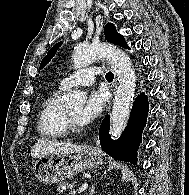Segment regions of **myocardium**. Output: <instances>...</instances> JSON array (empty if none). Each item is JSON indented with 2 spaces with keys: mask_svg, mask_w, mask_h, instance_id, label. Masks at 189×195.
Listing matches in <instances>:
<instances>
[{
  "mask_svg": "<svg viewBox=\"0 0 189 195\" xmlns=\"http://www.w3.org/2000/svg\"><path fill=\"white\" fill-rule=\"evenodd\" d=\"M66 117V131H69L73 134H79L83 131V127L75 122L70 113L65 110Z\"/></svg>",
  "mask_w": 189,
  "mask_h": 195,
  "instance_id": "obj_1",
  "label": "myocardium"
}]
</instances>
